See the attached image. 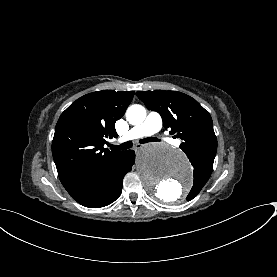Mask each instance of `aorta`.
Returning a JSON list of instances; mask_svg holds the SVG:
<instances>
[{
    "mask_svg": "<svg viewBox=\"0 0 277 277\" xmlns=\"http://www.w3.org/2000/svg\"><path fill=\"white\" fill-rule=\"evenodd\" d=\"M126 117L132 125L141 124L146 118V110L141 105H132ZM136 166L140 180L154 199L174 203L192 187L193 178L186 155L167 144L146 145Z\"/></svg>",
    "mask_w": 277,
    "mask_h": 277,
    "instance_id": "aorta-1",
    "label": "aorta"
}]
</instances>
